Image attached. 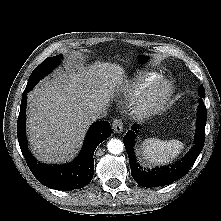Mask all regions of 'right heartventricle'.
I'll return each instance as SVG.
<instances>
[{
	"instance_id": "right-heart-ventricle-1",
	"label": "right heart ventricle",
	"mask_w": 221,
	"mask_h": 221,
	"mask_svg": "<svg viewBox=\"0 0 221 221\" xmlns=\"http://www.w3.org/2000/svg\"><path fill=\"white\" fill-rule=\"evenodd\" d=\"M158 78H160V75L156 72H145L137 75L129 84L128 95L131 97L139 95Z\"/></svg>"
}]
</instances>
